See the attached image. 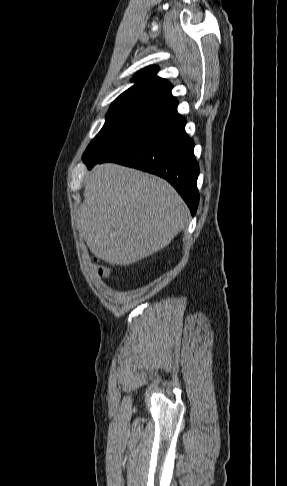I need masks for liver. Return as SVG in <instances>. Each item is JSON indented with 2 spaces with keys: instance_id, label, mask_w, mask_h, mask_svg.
<instances>
[{
  "instance_id": "obj_1",
  "label": "liver",
  "mask_w": 287,
  "mask_h": 486,
  "mask_svg": "<svg viewBox=\"0 0 287 486\" xmlns=\"http://www.w3.org/2000/svg\"><path fill=\"white\" fill-rule=\"evenodd\" d=\"M83 195L78 231L96 257L113 265L153 255L188 223V208L175 189L136 169L96 165Z\"/></svg>"
}]
</instances>
